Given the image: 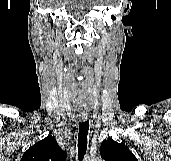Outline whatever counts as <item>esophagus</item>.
Here are the masks:
<instances>
[{
  "mask_svg": "<svg viewBox=\"0 0 171 161\" xmlns=\"http://www.w3.org/2000/svg\"><path fill=\"white\" fill-rule=\"evenodd\" d=\"M81 120H86L88 117V113L87 112H80L79 114Z\"/></svg>",
  "mask_w": 171,
  "mask_h": 161,
  "instance_id": "obj_1",
  "label": "esophagus"
}]
</instances>
